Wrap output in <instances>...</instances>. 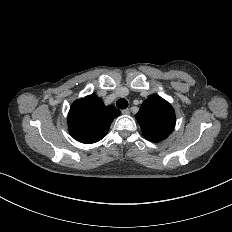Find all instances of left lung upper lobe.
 <instances>
[{
	"label": "left lung upper lobe",
	"instance_id": "obj_1",
	"mask_svg": "<svg viewBox=\"0 0 232 232\" xmlns=\"http://www.w3.org/2000/svg\"><path fill=\"white\" fill-rule=\"evenodd\" d=\"M136 119L144 137L152 142L167 138L173 131L176 120L173 107L156 94L143 102Z\"/></svg>",
	"mask_w": 232,
	"mask_h": 232
}]
</instances>
